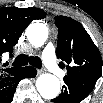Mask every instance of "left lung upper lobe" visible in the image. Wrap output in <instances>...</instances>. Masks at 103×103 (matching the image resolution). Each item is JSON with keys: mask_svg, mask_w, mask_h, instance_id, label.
<instances>
[{"mask_svg": "<svg viewBox=\"0 0 103 103\" xmlns=\"http://www.w3.org/2000/svg\"><path fill=\"white\" fill-rule=\"evenodd\" d=\"M58 28L56 55L66 63L67 76L98 80L102 75L101 55L82 25L66 16H56ZM62 67L65 66L60 62Z\"/></svg>", "mask_w": 103, "mask_h": 103, "instance_id": "5c2ea615", "label": "left lung upper lobe"}]
</instances>
